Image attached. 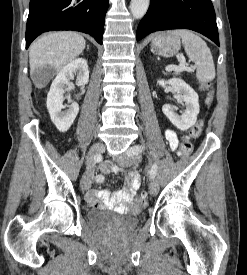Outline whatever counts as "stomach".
<instances>
[{
	"label": "stomach",
	"mask_w": 247,
	"mask_h": 275,
	"mask_svg": "<svg viewBox=\"0 0 247 275\" xmlns=\"http://www.w3.org/2000/svg\"><path fill=\"white\" fill-rule=\"evenodd\" d=\"M151 47L159 55L169 57L180 49V39L170 34L158 36L152 41Z\"/></svg>",
	"instance_id": "stomach-1"
}]
</instances>
